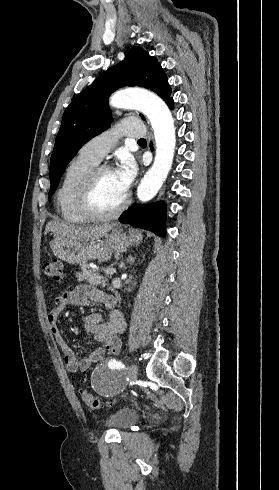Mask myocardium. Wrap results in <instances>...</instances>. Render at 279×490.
I'll return each instance as SVG.
<instances>
[{"label": "myocardium", "mask_w": 279, "mask_h": 490, "mask_svg": "<svg viewBox=\"0 0 279 490\" xmlns=\"http://www.w3.org/2000/svg\"><path fill=\"white\" fill-rule=\"evenodd\" d=\"M107 165H99L92 168L85 176L82 189L79 195V207L81 212L92 220H111L118 217L127 207L129 198L125 196L123 201L113 210L104 212L95 203V196L99 177L102 173L110 171Z\"/></svg>", "instance_id": "obj_1"}]
</instances>
